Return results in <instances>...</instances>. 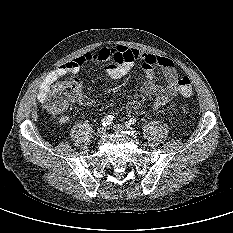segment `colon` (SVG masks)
Segmentation results:
<instances>
[{
  "instance_id": "colon-1",
  "label": "colon",
  "mask_w": 233,
  "mask_h": 233,
  "mask_svg": "<svg viewBox=\"0 0 233 233\" xmlns=\"http://www.w3.org/2000/svg\"><path fill=\"white\" fill-rule=\"evenodd\" d=\"M178 89L180 94L185 97H189L192 94V84L187 76L179 79ZM80 93V85L74 79H68L58 83L49 97V110L53 114L61 113L69 103L75 102Z\"/></svg>"
}]
</instances>
